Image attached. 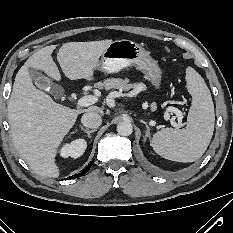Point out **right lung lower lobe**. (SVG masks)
<instances>
[{
	"label": "right lung lower lobe",
	"mask_w": 233,
	"mask_h": 233,
	"mask_svg": "<svg viewBox=\"0 0 233 233\" xmlns=\"http://www.w3.org/2000/svg\"><path fill=\"white\" fill-rule=\"evenodd\" d=\"M93 164V161L79 174H75L73 176H70L69 178L67 179H74V178H77V177H80V176H83L84 174H86L88 172V170L90 169V167L92 166Z\"/></svg>",
	"instance_id": "1"
}]
</instances>
